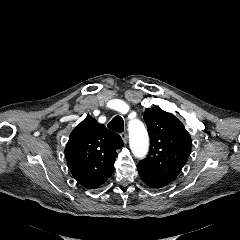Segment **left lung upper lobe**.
<instances>
[{"label":"left lung upper lobe","mask_w":240,"mask_h":240,"mask_svg":"<svg viewBox=\"0 0 240 240\" xmlns=\"http://www.w3.org/2000/svg\"><path fill=\"white\" fill-rule=\"evenodd\" d=\"M144 120L150 137V151L139 163L174 180L191 152V137L183 124L159 107L147 108Z\"/></svg>","instance_id":"left-lung-upper-lobe-1"}]
</instances>
